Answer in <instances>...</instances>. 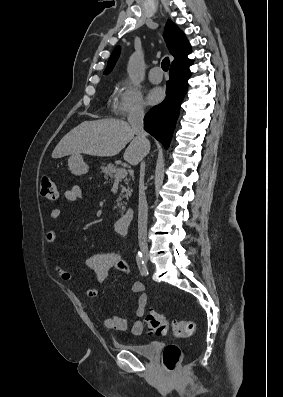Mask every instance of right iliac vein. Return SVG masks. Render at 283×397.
Segmentation results:
<instances>
[{
	"label": "right iliac vein",
	"mask_w": 283,
	"mask_h": 397,
	"mask_svg": "<svg viewBox=\"0 0 283 397\" xmlns=\"http://www.w3.org/2000/svg\"><path fill=\"white\" fill-rule=\"evenodd\" d=\"M143 259H144V261H147L148 260V255L144 254Z\"/></svg>",
	"instance_id": "right-iliac-vein-1"
}]
</instances>
